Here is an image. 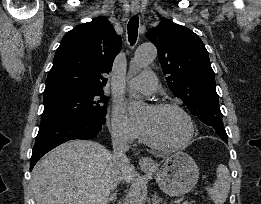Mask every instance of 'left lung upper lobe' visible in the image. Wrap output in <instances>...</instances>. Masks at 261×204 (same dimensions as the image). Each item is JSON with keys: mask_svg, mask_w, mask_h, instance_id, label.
I'll list each match as a JSON object with an SVG mask.
<instances>
[{"mask_svg": "<svg viewBox=\"0 0 261 204\" xmlns=\"http://www.w3.org/2000/svg\"><path fill=\"white\" fill-rule=\"evenodd\" d=\"M156 46L166 81L173 94L180 98L203 123L212 126L228 141L216 92L215 75L208 52L190 29L171 20H163L146 33Z\"/></svg>", "mask_w": 261, "mask_h": 204, "instance_id": "1", "label": "left lung upper lobe"}]
</instances>
